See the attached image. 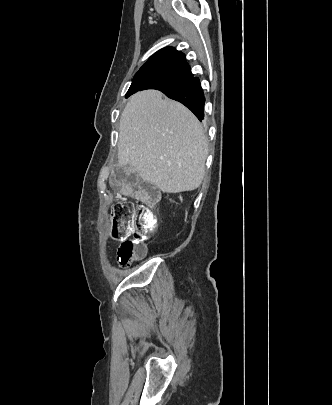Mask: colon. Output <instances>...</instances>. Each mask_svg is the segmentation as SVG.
<instances>
[{
  "label": "colon",
  "instance_id": "1",
  "mask_svg": "<svg viewBox=\"0 0 332 405\" xmlns=\"http://www.w3.org/2000/svg\"><path fill=\"white\" fill-rule=\"evenodd\" d=\"M141 202L121 201L111 209L112 236L121 241L117 260L122 267L141 261L146 257L147 248L143 238L158 226V218L148 206L159 200L158 190L144 183L140 189ZM133 236V239L130 237Z\"/></svg>",
  "mask_w": 332,
  "mask_h": 405
}]
</instances>
